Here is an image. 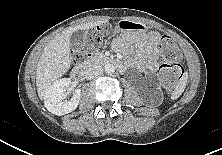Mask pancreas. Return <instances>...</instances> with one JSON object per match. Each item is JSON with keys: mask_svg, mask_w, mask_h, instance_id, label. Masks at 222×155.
Masks as SVG:
<instances>
[{"mask_svg": "<svg viewBox=\"0 0 222 155\" xmlns=\"http://www.w3.org/2000/svg\"><path fill=\"white\" fill-rule=\"evenodd\" d=\"M109 60V57H107L103 52H97L94 57V61L97 63H105Z\"/></svg>", "mask_w": 222, "mask_h": 155, "instance_id": "obj_1", "label": "pancreas"}]
</instances>
